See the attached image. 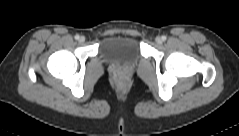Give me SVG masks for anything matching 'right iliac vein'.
Returning <instances> with one entry per match:
<instances>
[{
	"label": "right iliac vein",
	"instance_id": "1",
	"mask_svg": "<svg viewBox=\"0 0 239 136\" xmlns=\"http://www.w3.org/2000/svg\"><path fill=\"white\" fill-rule=\"evenodd\" d=\"M79 42H80V43H84V42H85V37H84V36H81V37L79 38Z\"/></svg>",
	"mask_w": 239,
	"mask_h": 136
}]
</instances>
